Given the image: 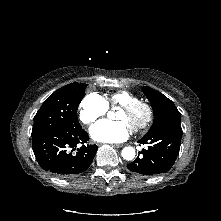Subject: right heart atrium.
I'll use <instances>...</instances> for the list:
<instances>
[{"mask_svg": "<svg viewBox=\"0 0 221 221\" xmlns=\"http://www.w3.org/2000/svg\"><path fill=\"white\" fill-rule=\"evenodd\" d=\"M109 107L104 98L97 93H89L84 96L79 104L78 116L82 123L91 125L104 116Z\"/></svg>", "mask_w": 221, "mask_h": 221, "instance_id": "right-heart-atrium-1", "label": "right heart atrium"}]
</instances>
